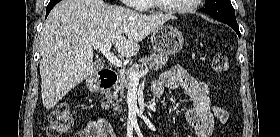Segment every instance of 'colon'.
<instances>
[{
  "label": "colon",
  "instance_id": "colon-1",
  "mask_svg": "<svg viewBox=\"0 0 280 137\" xmlns=\"http://www.w3.org/2000/svg\"><path fill=\"white\" fill-rule=\"evenodd\" d=\"M229 59L224 53H216L212 59V69L216 74H225L229 70ZM74 120L64 102L58 103L49 114L47 135L49 137H61L73 125ZM91 134L102 137H112L110 130L100 123H94Z\"/></svg>",
  "mask_w": 280,
  "mask_h": 137
}]
</instances>
